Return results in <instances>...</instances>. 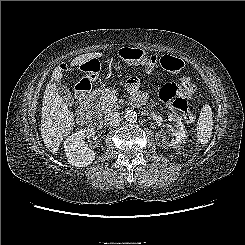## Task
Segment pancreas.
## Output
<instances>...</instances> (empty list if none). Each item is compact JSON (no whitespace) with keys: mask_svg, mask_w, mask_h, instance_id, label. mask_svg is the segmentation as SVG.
I'll return each mask as SVG.
<instances>
[{"mask_svg":"<svg viewBox=\"0 0 245 245\" xmlns=\"http://www.w3.org/2000/svg\"><path fill=\"white\" fill-rule=\"evenodd\" d=\"M115 95H117L116 90H108L99 98L98 107L102 112L109 113L119 109L118 103L112 100Z\"/></svg>","mask_w":245,"mask_h":245,"instance_id":"pancreas-1","label":"pancreas"}]
</instances>
